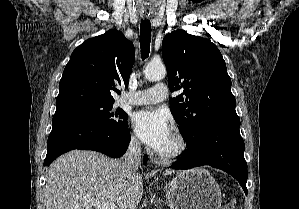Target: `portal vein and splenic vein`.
I'll return each instance as SVG.
<instances>
[{"instance_id":"1","label":"portal vein and splenic vein","mask_w":299,"mask_h":209,"mask_svg":"<svg viewBox=\"0 0 299 209\" xmlns=\"http://www.w3.org/2000/svg\"><path fill=\"white\" fill-rule=\"evenodd\" d=\"M91 206L96 207V209H117V206L114 203L101 202L97 200H92L89 202Z\"/></svg>"}]
</instances>
